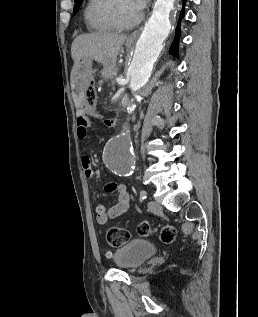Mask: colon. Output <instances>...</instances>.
<instances>
[{
  "mask_svg": "<svg viewBox=\"0 0 258 317\" xmlns=\"http://www.w3.org/2000/svg\"><path fill=\"white\" fill-rule=\"evenodd\" d=\"M82 106L89 113H94L97 103V93L93 82L89 83L82 92ZM138 233L142 236H147L152 232H157L160 239L164 243H171L175 238V230L171 226H165L160 230L151 228L147 223H142L138 226ZM130 232L119 227H112L106 233V241L113 247H119L130 240Z\"/></svg>",
  "mask_w": 258,
  "mask_h": 317,
  "instance_id": "1",
  "label": "colon"
}]
</instances>
